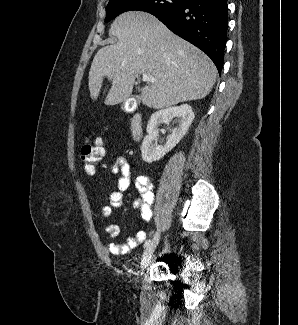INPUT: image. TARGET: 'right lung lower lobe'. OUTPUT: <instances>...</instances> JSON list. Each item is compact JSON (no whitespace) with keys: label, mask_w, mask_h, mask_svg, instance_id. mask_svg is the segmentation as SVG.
Returning a JSON list of instances; mask_svg holds the SVG:
<instances>
[{"label":"right lung lower lobe","mask_w":298,"mask_h":325,"mask_svg":"<svg viewBox=\"0 0 298 325\" xmlns=\"http://www.w3.org/2000/svg\"><path fill=\"white\" fill-rule=\"evenodd\" d=\"M227 11L226 0H187L181 7L155 16L173 33L204 51L220 73L227 40Z\"/></svg>","instance_id":"right-lung-lower-lobe-1"}]
</instances>
